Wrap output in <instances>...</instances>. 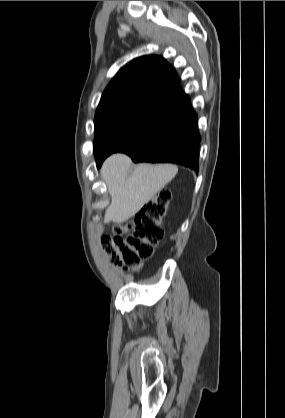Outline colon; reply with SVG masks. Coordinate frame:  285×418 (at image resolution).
<instances>
[{"instance_id": "1", "label": "colon", "mask_w": 285, "mask_h": 418, "mask_svg": "<svg viewBox=\"0 0 285 418\" xmlns=\"http://www.w3.org/2000/svg\"><path fill=\"white\" fill-rule=\"evenodd\" d=\"M170 198L169 190H160L132 221L124 227L115 226L113 235L101 238L116 267L133 269L153 254L155 245L164 237L161 222L167 214Z\"/></svg>"}]
</instances>
